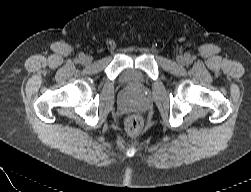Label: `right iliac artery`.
<instances>
[{
    "mask_svg": "<svg viewBox=\"0 0 251 192\" xmlns=\"http://www.w3.org/2000/svg\"><path fill=\"white\" fill-rule=\"evenodd\" d=\"M83 58V55L80 56V60ZM79 61V60H78Z\"/></svg>",
    "mask_w": 251,
    "mask_h": 192,
    "instance_id": "obj_1",
    "label": "right iliac artery"
}]
</instances>
